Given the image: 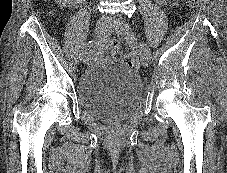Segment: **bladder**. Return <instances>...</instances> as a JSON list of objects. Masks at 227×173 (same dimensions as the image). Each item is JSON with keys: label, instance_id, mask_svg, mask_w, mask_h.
Returning <instances> with one entry per match:
<instances>
[{"label": "bladder", "instance_id": "1", "mask_svg": "<svg viewBox=\"0 0 227 173\" xmlns=\"http://www.w3.org/2000/svg\"><path fill=\"white\" fill-rule=\"evenodd\" d=\"M76 94L89 115L108 122L127 118L140 105L143 83L125 64L104 63L87 69L78 79Z\"/></svg>", "mask_w": 227, "mask_h": 173}]
</instances>
